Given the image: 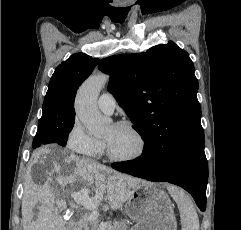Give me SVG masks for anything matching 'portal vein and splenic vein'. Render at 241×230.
Instances as JSON below:
<instances>
[{"label": "portal vein and splenic vein", "mask_w": 241, "mask_h": 230, "mask_svg": "<svg viewBox=\"0 0 241 230\" xmlns=\"http://www.w3.org/2000/svg\"><path fill=\"white\" fill-rule=\"evenodd\" d=\"M74 201L77 204L82 205L84 208L92 211L90 218L92 221H96L97 218L99 217V213L97 212V207L99 200H93L88 196V192L86 190H82L74 195H72ZM107 227V223H101L100 224V229L105 230Z\"/></svg>", "instance_id": "obj_1"}]
</instances>
